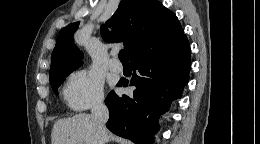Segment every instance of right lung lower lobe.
<instances>
[{
  "label": "right lung lower lobe",
  "mask_w": 260,
  "mask_h": 144,
  "mask_svg": "<svg viewBox=\"0 0 260 144\" xmlns=\"http://www.w3.org/2000/svg\"><path fill=\"white\" fill-rule=\"evenodd\" d=\"M132 79L117 86H136L132 96H118L111 91L105 99L109 109L107 128L136 144H152L158 130L159 116L170 103L182 96L189 81L190 45L186 35L137 54L130 59ZM138 72V74L136 73Z\"/></svg>",
  "instance_id": "98d812e1"
}]
</instances>
